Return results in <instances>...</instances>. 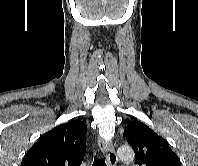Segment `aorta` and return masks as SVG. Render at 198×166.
<instances>
[{
    "label": "aorta",
    "mask_w": 198,
    "mask_h": 166,
    "mask_svg": "<svg viewBox=\"0 0 198 166\" xmlns=\"http://www.w3.org/2000/svg\"><path fill=\"white\" fill-rule=\"evenodd\" d=\"M118 157L124 163H131L134 160V151L129 146H121L117 151Z\"/></svg>",
    "instance_id": "1"
}]
</instances>
